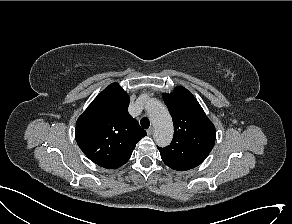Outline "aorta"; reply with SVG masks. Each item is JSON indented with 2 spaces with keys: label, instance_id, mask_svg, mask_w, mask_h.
<instances>
[{
  "label": "aorta",
  "instance_id": "obj_1",
  "mask_svg": "<svg viewBox=\"0 0 292 224\" xmlns=\"http://www.w3.org/2000/svg\"><path fill=\"white\" fill-rule=\"evenodd\" d=\"M147 113L154 126V140L160 147L168 146L173 138V122L165 105L157 99H150L146 104Z\"/></svg>",
  "mask_w": 292,
  "mask_h": 224
}]
</instances>
